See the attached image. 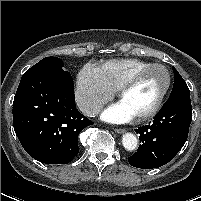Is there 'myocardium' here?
Listing matches in <instances>:
<instances>
[{"label":"myocardium","instance_id":"myocardium-1","mask_svg":"<svg viewBox=\"0 0 201 201\" xmlns=\"http://www.w3.org/2000/svg\"><path fill=\"white\" fill-rule=\"evenodd\" d=\"M154 68H161L164 70L166 74V83L162 92L160 93L159 97L154 103V105L150 109H148L146 112L135 116V118L138 121H144L154 117L161 109L172 83L170 70L167 68V66L161 63L150 64L149 66L142 68L136 73H134L133 75H131L128 79H126L121 84V86L118 89V97H119V100L121 101L123 95L127 92V90H129L132 86H134L144 75H146L149 71H151Z\"/></svg>","mask_w":201,"mask_h":201}]
</instances>
